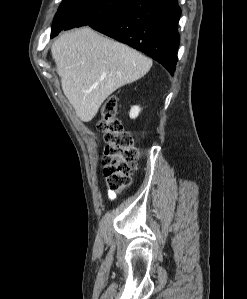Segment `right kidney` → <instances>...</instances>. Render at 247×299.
Wrapping results in <instances>:
<instances>
[{"instance_id": "1", "label": "right kidney", "mask_w": 247, "mask_h": 299, "mask_svg": "<svg viewBox=\"0 0 247 299\" xmlns=\"http://www.w3.org/2000/svg\"><path fill=\"white\" fill-rule=\"evenodd\" d=\"M140 110L141 109H140L139 106H133V107H131V110H130V113H129L130 118L131 119H135L139 115Z\"/></svg>"}]
</instances>
